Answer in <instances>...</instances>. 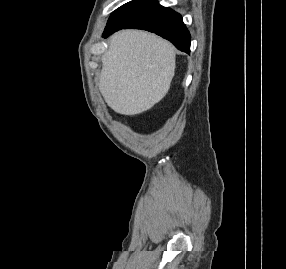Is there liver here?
I'll list each match as a JSON object with an SVG mask.
<instances>
[{
	"instance_id": "liver-1",
	"label": "liver",
	"mask_w": 286,
	"mask_h": 269,
	"mask_svg": "<svg viewBox=\"0 0 286 269\" xmlns=\"http://www.w3.org/2000/svg\"><path fill=\"white\" fill-rule=\"evenodd\" d=\"M174 70L175 50L168 41L145 31L123 30L110 38L98 86L115 112L137 115L167 94Z\"/></svg>"
}]
</instances>
